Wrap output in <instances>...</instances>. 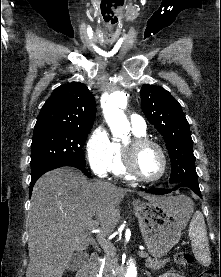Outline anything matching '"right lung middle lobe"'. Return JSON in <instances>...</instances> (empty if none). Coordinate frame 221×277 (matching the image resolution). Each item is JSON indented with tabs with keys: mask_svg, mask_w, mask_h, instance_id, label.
<instances>
[{
	"mask_svg": "<svg viewBox=\"0 0 221 277\" xmlns=\"http://www.w3.org/2000/svg\"><path fill=\"white\" fill-rule=\"evenodd\" d=\"M91 128L52 126L34 128L30 163L32 178L69 164L85 167L82 148Z\"/></svg>",
	"mask_w": 221,
	"mask_h": 277,
	"instance_id": "right-lung-middle-lobe-1",
	"label": "right lung middle lobe"
}]
</instances>
